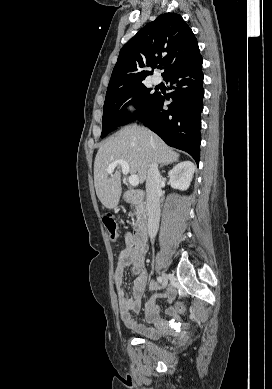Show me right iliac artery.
I'll list each match as a JSON object with an SVG mask.
<instances>
[{
  "label": "right iliac artery",
  "mask_w": 272,
  "mask_h": 389,
  "mask_svg": "<svg viewBox=\"0 0 272 389\" xmlns=\"http://www.w3.org/2000/svg\"><path fill=\"white\" fill-rule=\"evenodd\" d=\"M157 281L159 282V283H161L162 282V278L159 276V277H157Z\"/></svg>",
  "instance_id": "right-iliac-artery-1"
}]
</instances>
